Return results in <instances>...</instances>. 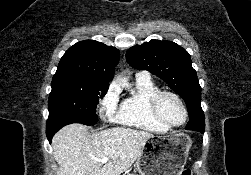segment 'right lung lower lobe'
<instances>
[{
    "mask_svg": "<svg viewBox=\"0 0 251 175\" xmlns=\"http://www.w3.org/2000/svg\"><path fill=\"white\" fill-rule=\"evenodd\" d=\"M74 120H68L65 122H55V123H47V127H46V134H47V138L49 140V142L51 143L52 137L53 135L63 126L70 124L71 122H73Z\"/></svg>",
    "mask_w": 251,
    "mask_h": 175,
    "instance_id": "obj_1",
    "label": "right lung lower lobe"
}]
</instances>
